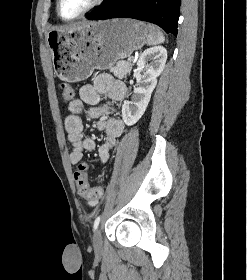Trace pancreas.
Listing matches in <instances>:
<instances>
[{
  "label": "pancreas",
  "instance_id": "cf45deb5",
  "mask_svg": "<svg viewBox=\"0 0 247 280\" xmlns=\"http://www.w3.org/2000/svg\"><path fill=\"white\" fill-rule=\"evenodd\" d=\"M133 64L130 61H118L114 67L111 68V72L118 78L123 79L128 73H130Z\"/></svg>",
  "mask_w": 247,
  "mask_h": 280
}]
</instances>
